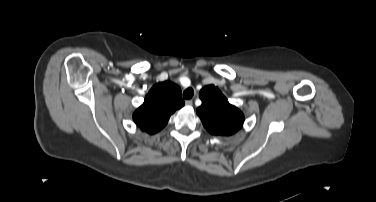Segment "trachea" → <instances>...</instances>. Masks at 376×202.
I'll use <instances>...</instances> for the list:
<instances>
[{"label":"trachea","instance_id":"obj_1","mask_svg":"<svg viewBox=\"0 0 376 202\" xmlns=\"http://www.w3.org/2000/svg\"><path fill=\"white\" fill-rule=\"evenodd\" d=\"M194 95V90L192 88H188L183 92L184 99H191Z\"/></svg>","mask_w":376,"mask_h":202}]
</instances>
